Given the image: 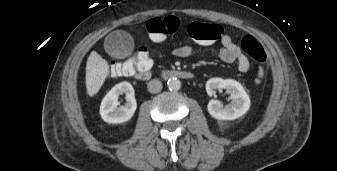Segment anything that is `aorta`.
<instances>
[{
    "instance_id": "762f6f07",
    "label": "aorta",
    "mask_w": 337,
    "mask_h": 171,
    "mask_svg": "<svg viewBox=\"0 0 337 171\" xmlns=\"http://www.w3.org/2000/svg\"><path fill=\"white\" fill-rule=\"evenodd\" d=\"M169 90L178 91L181 88V82L177 78H170L167 82Z\"/></svg>"
}]
</instances>
